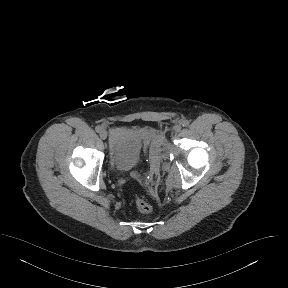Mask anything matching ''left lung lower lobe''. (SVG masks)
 <instances>
[{"instance_id": "0a47b994", "label": "left lung lower lobe", "mask_w": 288, "mask_h": 288, "mask_svg": "<svg viewBox=\"0 0 288 288\" xmlns=\"http://www.w3.org/2000/svg\"><path fill=\"white\" fill-rule=\"evenodd\" d=\"M263 210L264 202L262 199H258L255 204L248 210V213L250 214V216L257 217L263 212Z\"/></svg>"}]
</instances>
